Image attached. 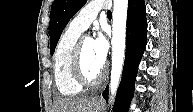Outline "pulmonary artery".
Listing matches in <instances>:
<instances>
[{
	"mask_svg": "<svg viewBox=\"0 0 193 112\" xmlns=\"http://www.w3.org/2000/svg\"><path fill=\"white\" fill-rule=\"evenodd\" d=\"M110 2L104 0H95L88 3L78 14L71 20L69 26L80 32L85 31L90 24L96 19L101 9H109Z\"/></svg>",
	"mask_w": 193,
	"mask_h": 112,
	"instance_id": "pulmonary-artery-1",
	"label": "pulmonary artery"
}]
</instances>
